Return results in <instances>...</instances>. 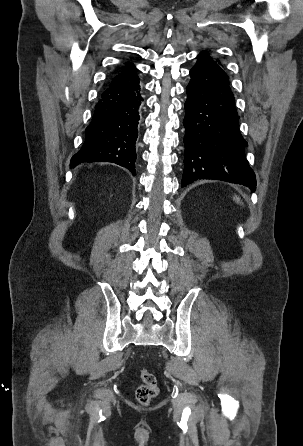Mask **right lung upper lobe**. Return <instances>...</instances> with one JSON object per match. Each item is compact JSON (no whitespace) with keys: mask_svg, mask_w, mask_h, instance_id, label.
<instances>
[{"mask_svg":"<svg viewBox=\"0 0 303 446\" xmlns=\"http://www.w3.org/2000/svg\"><path fill=\"white\" fill-rule=\"evenodd\" d=\"M135 71H136V68L133 66V64L128 62V63H126L124 69L120 73H118L117 75L114 76V78L112 79V82H119V81L133 78L134 76H137Z\"/></svg>","mask_w":303,"mask_h":446,"instance_id":"right-lung-upper-lobe-1","label":"right lung upper lobe"}]
</instances>
